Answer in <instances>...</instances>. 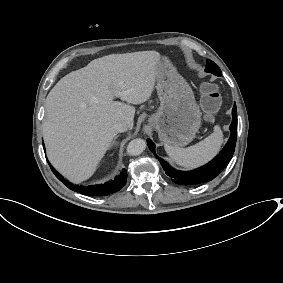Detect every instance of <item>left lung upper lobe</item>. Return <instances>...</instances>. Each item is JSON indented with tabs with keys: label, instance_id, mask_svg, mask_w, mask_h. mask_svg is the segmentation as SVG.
<instances>
[{
	"label": "left lung upper lobe",
	"instance_id": "obj_1",
	"mask_svg": "<svg viewBox=\"0 0 283 283\" xmlns=\"http://www.w3.org/2000/svg\"><path fill=\"white\" fill-rule=\"evenodd\" d=\"M206 72H210L213 73L217 76L221 75V71L220 68L211 60H207V64H206Z\"/></svg>",
	"mask_w": 283,
	"mask_h": 283
}]
</instances>
